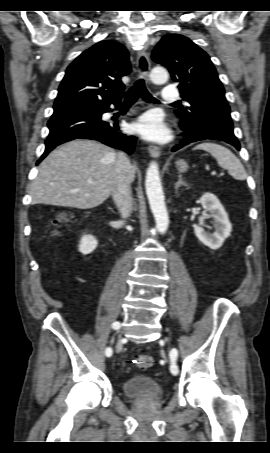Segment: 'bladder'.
I'll return each instance as SVG.
<instances>
[{"label": "bladder", "mask_w": 270, "mask_h": 453, "mask_svg": "<svg viewBox=\"0 0 270 453\" xmlns=\"http://www.w3.org/2000/svg\"><path fill=\"white\" fill-rule=\"evenodd\" d=\"M123 393L129 398L159 399L163 395L162 386L152 377L147 375H134L124 381Z\"/></svg>", "instance_id": "31cf9c89"}]
</instances>
